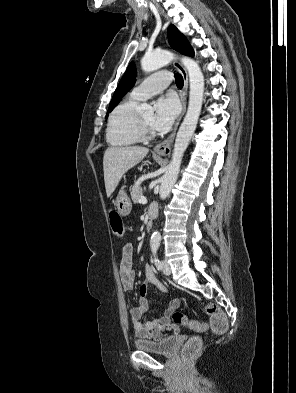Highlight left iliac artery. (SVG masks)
Masks as SVG:
<instances>
[{
    "label": "left iliac artery",
    "mask_w": 296,
    "mask_h": 393,
    "mask_svg": "<svg viewBox=\"0 0 296 393\" xmlns=\"http://www.w3.org/2000/svg\"><path fill=\"white\" fill-rule=\"evenodd\" d=\"M158 248H159V244L158 243H153L152 246H151V249H152V252H153V256H154V264H155V266H156V268L158 270H161L162 269V263L159 260L158 255H157Z\"/></svg>",
    "instance_id": "obj_1"
}]
</instances>
